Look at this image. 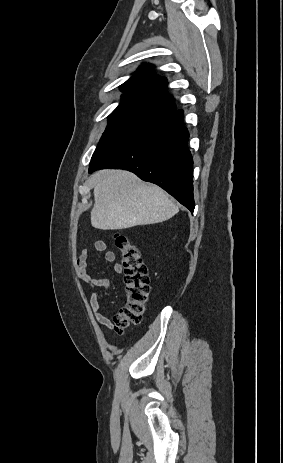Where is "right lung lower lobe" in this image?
Wrapping results in <instances>:
<instances>
[{"instance_id": "obj_1", "label": "right lung lower lobe", "mask_w": 283, "mask_h": 463, "mask_svg": "<svg viewBox=\"0 0 283 463\" xmlns=\"http://www.w3.org/2000/svg\"><path fill=\"white\" fill-rule=\"evenodd\" d=\"M183 111L172 110L136 129L91 158L89 172L120 168L166 190L192 213L193 160Z\"/></svg>"}]
</instances>
